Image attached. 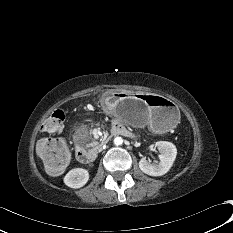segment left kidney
Wrapping results in <instances>:
<instances>
[{"mask_svg":"<svg viewBox=\"0 0 233 233\" xmlns=\"http://www.w3.org/2000/svg\"><path fill=\"white\" fill-rule=\"evenodd\" d=\"M155 146L160 153L159 163H151L147 159L142 158L139 161V168L142 172L150 176H162L172 167L177 155V149L173 143L167 141H158Z\"/></svg>","mask_w":233,"mask_h":233,"instance_id":"1","label":"left kidney"}]
</instances>
